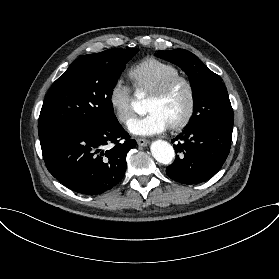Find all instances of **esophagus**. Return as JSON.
Wrapping results in <instances>:
<instances>
[{
  "mask_svg": "<svg viewBox=\"0 0 279 279\" xmlns=\"http://www.w3.org/2000/svg\"><path fill=\"white\" fill-rule=\"evenodd\" d=\"M137 144H138L139 146L145 147V146H147L148 144H150V142H149L148 140H146V139L139 138V139H137Z\"/></svg>",
  "mask_w": 279,
  "mask_h": 279,
  "instance_id": "34e87169",
  "label": "esophagus"
}]
</instances>
